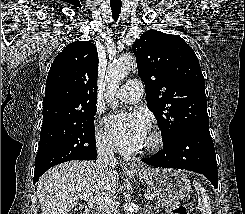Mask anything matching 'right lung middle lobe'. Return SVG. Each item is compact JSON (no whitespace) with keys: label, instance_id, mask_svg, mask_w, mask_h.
Wrapping results in <instances>:
<instances>
[{"label":"right lung middle lobe","instance_id":"1","mask_svg":"<svg viewBox=\"0 0 245 214\" xmlns=\"http://www.w3.org/2000/svg\"><path fill=\"white\" fill-rule=\"evenodd\" d=\"M95 110L78 120L45 134L35 159V173L47 171L54 165L70 160H90L95 148Z\"/></svg>","mask_w":245,"mask_h":214}]
</instances>
